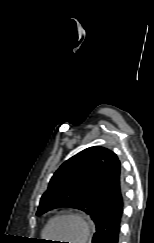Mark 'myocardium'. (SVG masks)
Instances as JSON below:
<instances>
[{
	"instance_id": "myocardium-1",
	"label": "myocardium",
	"mask_w": 154,
	"mask_h": 243,
	"mask_svg": "<svg viewBox=\"0 0 154 243\" xmlns=\"http://www.w3.org/2000/svg\"><path fill=\"white\" fill-rule=\"evenodd\" d=\"M58 219H73V220L77 221L80 226V230H81L78 243H86V240L90 233L89 224H88L87 220L84 218V216H82L81 214H78V213H73V212H63V213H59V214L53 216L46 225V228L44 231L45 236H49V230H50L52 224Z\"/></svg>"
}]
</instances>
